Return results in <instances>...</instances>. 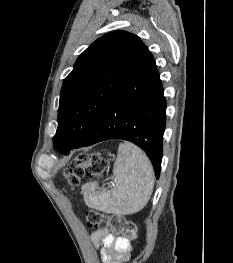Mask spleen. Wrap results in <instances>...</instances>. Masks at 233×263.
<instances>
[{
  "label": "spleen",
  "mask_w": 233,
  "mask_h": 263,
  "mask_svg": "<svg viewBox=\"0 0 233 263\" xmlns=\"http://www.w3.org/2000/svg\"><path fill=\"white\" fill-rule=\"evenodd\" d=\"M112 178L116 186L111 190L100 189L96 182L82 186L84 201L89 208L126 215L146 206L154 187V172L140 148L130 142L119 145Z\"/></svg>",
  "instance_id": "spleen-1"
}]
</instances>
